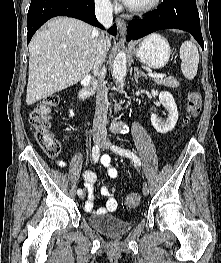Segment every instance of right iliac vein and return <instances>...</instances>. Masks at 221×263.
Masks as SVG:
<instances>
[{
  "label": "right iliac vein",
  "mask_w": 221,
  "mask_h": 263,
  "mask_svg": "<svg viewBox=\"0 0 221 263\" xmlns=\"http://www.w3.org/2000/svg\"><path fill=\"white\" fill-rule=\"evenodd\" d=\"M102 141H103V138L101 136L97 135L94 137V142L96 144L100 145L102 143ZM85 195H86L85 192H82V194L79 195V198L84 199Z\"/></svg>",
  "instance_id": "right-iliac-vein-1"
}]
</instances>
